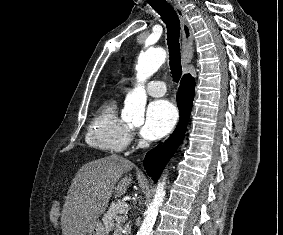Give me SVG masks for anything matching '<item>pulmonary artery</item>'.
I'll use <instances>...</instances> for the list:
<instances>
[{
	"label": "pulmonary artery",
	"instance_id": "obj_1",
	"mask_svg": "<svg viewBox=\"0 0 283 235\" xmlns=\"http://www.w3.org/2000/svg\"><path fill=\"white\" fill-rule=\"evenodd\" d=\"M146 92L153 97L163 96L166 92L165 83L162 81H150L146 85Z\"/></svg>",
	"mask_w": 283,
	"mask_h": 235
}]
</instances>
